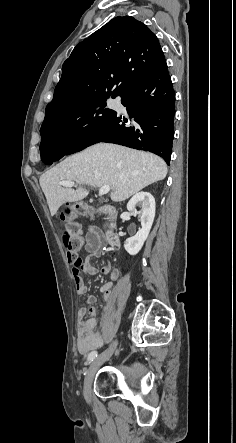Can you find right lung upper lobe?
<instances>
[{
    "label": "right lung upper lobe",
    "instance_id": "obj_1",
    "mask_svg": "<svg viewBox=\"0 0 236 443\" xmlns=\"http://www.w3.org/2000/svg\"><path fill=\"white\" fill-rule=\"evenodd\" d=\"M155 34L130 16L113 18L79 43L62 66L45 119L100 96H119L163 57Z\"/></svg>",
    "mask_w": 236,
    "mask_h": 443
}]
</instances>
